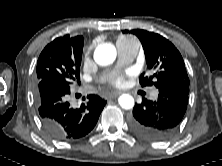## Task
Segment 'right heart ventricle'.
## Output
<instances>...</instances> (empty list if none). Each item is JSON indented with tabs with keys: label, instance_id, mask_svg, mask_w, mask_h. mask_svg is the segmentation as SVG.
<instances>
[{
	"label": "right heart ventricle",
	"instance_id": "obj_1",
	"mask_svg": "<svg viewBox=\"0 0 222 166\" xmlns=\"http://www.w3.org/2000/svg\"><path fill=\"white\" fill-rule=\"evenodd\" d=\"M122 42H136V41L134 38L130 36H120L117 40V44Z\"/></svg>",
	"mask_w": 222,
	"mask_h": 166
}]
</instances>
